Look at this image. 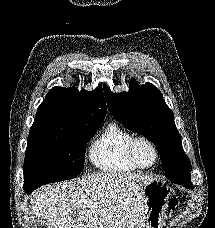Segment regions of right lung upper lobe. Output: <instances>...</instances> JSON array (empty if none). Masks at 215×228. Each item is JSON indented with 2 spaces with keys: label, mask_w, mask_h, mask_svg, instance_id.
I'll list each match as a JSON object with an SVG mask.
<instances>
[{
  "label": "right lung upper lobe",
  "mask_w": 215,
  "mask_h": 228,
  "mask_svg": "<svg viewBox=\"0 0 215 228\" xmlns=\"http://www.w3.org/2000/svg\"><path fill=\"white\" fill-rule=\"evenodd\" d=\"M106 112L101 86L93 91L54 87L38 107L30 133L73 124L102 123Z\"/></svg>",
  "instance_id": "right-lung-upper-lobe-1"
}]
</instances>
